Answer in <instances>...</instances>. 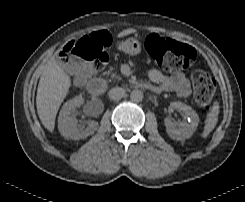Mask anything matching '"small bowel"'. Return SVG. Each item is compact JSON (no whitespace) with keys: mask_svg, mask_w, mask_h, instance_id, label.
I'll use <instances>...</instances> for the list:
<instances>
[{"mask_svg":"<svg viewBox=\"0 0 245 202\" xmlns=\"http://www.w3.org/2000/svg\"><path fill=\"white\" fill-rule=\"evenodd\" d=\"M108 35V31H102ZM149 83L158 89L159 92H174L179 97H188L191 94V85L188 78L178 73L176 75H165L157 69L146 71Z\"/></svg>","mask_w":245,"mask_h":202,"instance_id":"small-bowel-1","label":"small bowel"}]
</instances>
